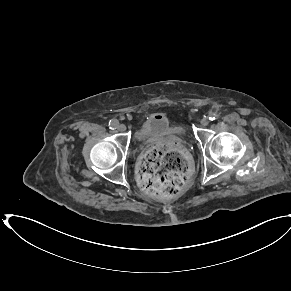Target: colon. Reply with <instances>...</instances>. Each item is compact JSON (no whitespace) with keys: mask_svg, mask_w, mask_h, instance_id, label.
<instances>
[{"mask_svg":"<svg viewBox=\"0 0 291 291\" xmlns=\"http://www.w3.org/2000/svg\"><path fill=\"white\" fill-rule=\"evenodd\" d=\"M189 173V162L176 146L153 145L141 159L139 182L151 196L170 197L185 188Z\"/></svg>","mask_w":291,"mask_h":291,"instance_id":"obj_1","label":"colon"}]
</instances>
